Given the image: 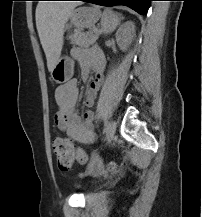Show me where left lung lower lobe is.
I'll return each mask as SVG.
<instances>
[{"label": "left lung lower lobe", "instance_id": "1", "mask_svg": "<svg viewBox=\"0 0 202 217\" xmlns=\"http://www.w3.org/2000/svg\"><path fill=\"white\" fill-rule=\"evenodd\" d=\"M102 6L124 5L130 7L139 14H145L152 0H80Z\"/></svg>", "mask_w": 202, "mask_h": 217}]
</instances>
